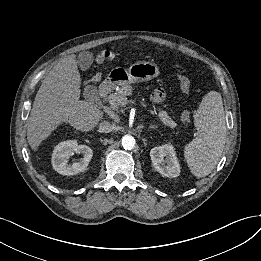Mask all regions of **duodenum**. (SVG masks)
I'll return each instance as SVG.
<instances>
[{"mask_svg":"<svg viewBox=\"0 0 261 261\" xmlns=\"http://www.w3.org/2000/svg\"><path fill=\"white\" fill-rule=\"evenodd\" d=\"M112 89V83L109 80H104L99 84L98 91L100 97H106Z\"/></svg>","mask_w":261,"mask_h":261,"instance_id":"1","label":"duodenum"}]
</instances>
